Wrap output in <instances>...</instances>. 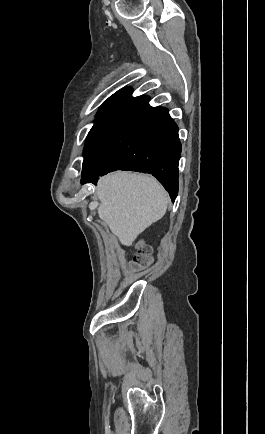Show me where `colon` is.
I'll return each mask as SVG.
<instances>
[{
    "label": "colon",
    "instance_id": "obj_1",
    "mask_svg": "<svg viewBox=\"0 0 265 434\" xmlns=\"http://www.w3.org/2000/svg\"><path fill=\"white\" fill-rule=\"evenodd\" d=\"M149 254L150 250L147 248H143L139 251L134 262L129 266L128 274L130 277L141 275L144 270H147L151 266L152 261L148 258Z\"/></svg>",
    "mask_w": 265,
    "mask_h": 434
}]
</instances>
